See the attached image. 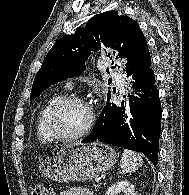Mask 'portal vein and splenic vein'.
<instances>
[{
	"mask_svg": "<svg viewBox=\"0 0 189 195\" xmlns=\"http://www.w3.org/2000/svg\"><path fill=\"white\" fill-rule=\"evenodd\" d=\"M100 180H101L100 178H96L95 179L96 182H100Z\"/></svg>",
	"mask_w": 189,
	"mask_h": 195,
	"instance_id": "obj_1",
	"label": "portal vein and splenic vein"
}]
</instances>
